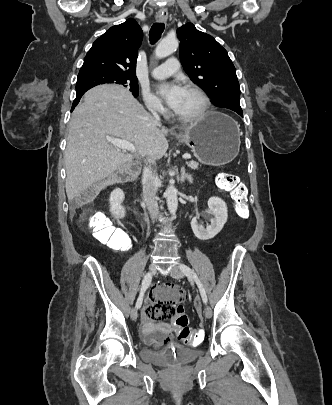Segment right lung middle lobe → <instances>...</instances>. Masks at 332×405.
Returning a JSON list of instances; mask_svg holds the SVG:
<instances>
[{"instance_id": "obj_1", "label": "right lung middle lobe", "mask_w": 332, "mask_h": 405, "mask_svg": "<svg viewBox=\"0 0 332 405\" xmlns=\"http://www.w3.org/2000/svg\"><path fill=\"white\" fill-rule=\"evenodd\" d=\"M106 83L120 84L123 87H127L134 97L138 96L139 86L136 76L110 71H90L79 73L76 83V92L87 91L96 85Z\"/></svg>"}]
</instances>
